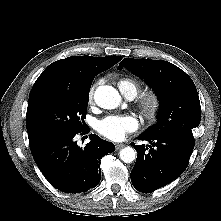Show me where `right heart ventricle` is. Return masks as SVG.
<instances>
[{
	"mask_svg": "<svg viewBox=\"0 0 221 221\" xmlns=\"http://www.w3.org/2000/svg\"><path fill=\"white\" fill-rule=\"evenodd\" d=\"M118 87L126 97H135L139 92L140 84L131 77H125L119 80Z\"/></svg>",
	"mask_w": 221,
	"mask_h": 221,
	"instance_id": "e07e8e85",
	"label": "right heart ventricle"
}]
</instances>
